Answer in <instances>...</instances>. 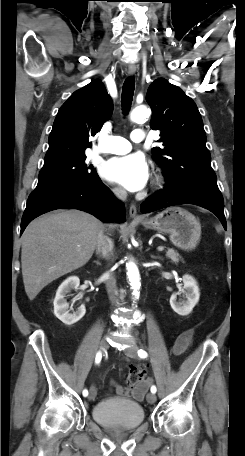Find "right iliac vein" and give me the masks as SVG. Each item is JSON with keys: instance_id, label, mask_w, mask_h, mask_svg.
<instances>
[{"instance_id": "63e3f726", "label": "right iliac vein", "mask_w": 245, "mask_h": 456, "mask_svg": "<svg viewBox=\"0 0 245 456\" xmlns=\"http://www.w3.org/2000/svg\"><path fill=\"white\" fill-rule=\"evenodd\" d=\"M107 348H108V343H107L106 339L104 338L100 342V349L104 352ZM96 394H97V391H96L95 387H91L88 399L94 400L96 397Z\"/></svg>"}]
</instances>
